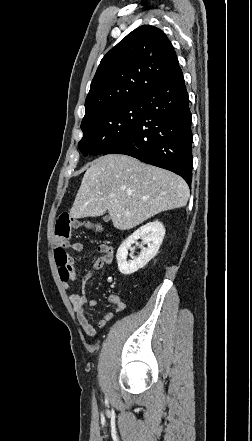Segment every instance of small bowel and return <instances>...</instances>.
I'll return each mask as SVG.
<instances>
[{"label":"small bowel","mask_w":252,"mask_h":441,"mask_svg":"<svg viewBox=\"0 0 252 441\" xmlns=\"http://www.w3.org/2000/svg\"><path fill=\"white\" fill-rule=\"evenodd\" d=\"M71 247L76 252H83L85 249L84 245L80 242L73 243ZM99 252L101 253V255L95 260L93 267L88 270L82 277L83 293L73 294L71 296V301L73 303L78 322L89 337H95L97 332L94 324L89 321L85 309L86 305L90 307L96 306L97 301L93 298H89L84 290L88 281L92 278L94 273L102 268L104 265L110 264L113 261V250L111 247L107 245H101L99 247ZM59 273L63 286L67 288L69 281L74 280L76 277L74 270V258L72 256L69 255L68 272L65 273L62 267L59 266ZM107 300L115 306L117 312H121L124 310L125 303L118 295L108 294ZM112 318L113 314L111 312H106L104 313L103 317L96 322V326H98L99 328H103L110 320H112Z\"/></svg>","instance_id":"c3829d8e"}]
</instances>
